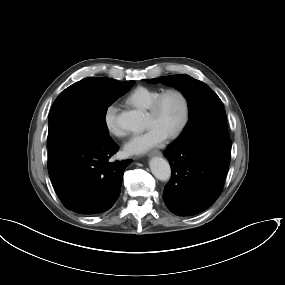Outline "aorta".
Instances as JSON below:
<instances>
[{"mask_svg": "<svg viewBox=\"0 0 285 285\" xmlns=\"http://www.w3.org/2000/svg\"><path fill=\"white\" fill-rule=\"evenodd\" d=\"M117 124L120 128L129 131H140L144 126V115L137 110L124 111L117 116ZM152 174L161 181H168L171 177L169 163L161 157H154L149 163Z\"/></svg>", "mask_w": 285, "mask_h": 285, "instance_id": "762f6f07", "label": "aorta"}]
</instances>
